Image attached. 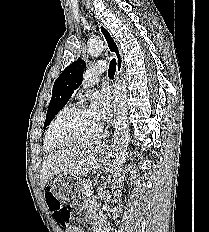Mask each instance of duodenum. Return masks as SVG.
Wrapping results in <instances>:
<instances>
[{"mask_svg": "<svg viewBox=\"0 0 209 232\" xmlns=\"http://www.w3.org/2000/svg\"><path fill=\"white\" fill-rule=\"evenodd\" d=\"M94 232H104L103 226L101 223L99 222L95 223Z\"/></svg>", "mask_w": 209, "mask_h": 232, "instance_id": "duodenum-1", "label": "duodenum"}]
</instances>
